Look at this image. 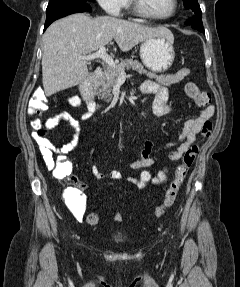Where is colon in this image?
<instances>
[{
	"label": "colon",
	"instance_id": "1",
	"mask_svg": "<svg viewBox=\"0 0 240 287\" xmlns=\"http://www.w3.org/2000/svg\"><path fill=\"white\" fill-rule=\"evenodd\" d=\"M185 93L190 97L198 106L203 107L209 105L211 101L210 95L201 90L194 82H187L185 85ZM48 108L47 99L42 94H37L31 98L29 102V111L32 115H39L41 112ZM31 126L35 130L38 136L43 137L45 132L42 129L41 121L37 118L31 121ZM212 130V123L206 122L202 128V137H206ZM199 150L197 144L191 145L183 154L181 162L175 168L173 177L169 180L167 170L160 171L157 175H152L148 171H143L138 177L137 187L143 188L146 185L152 183L156 185L167 184L165 195L162 203L154 210V217L159 218L165 214V212L175 203L179 189L184 183ZM53 174L56 178L66 177L72 168L71 163L58 156L56 161L52 163ZM90 225H97L99 223V217L95 213L88 214L86 218ZM114 220L117 222L123 221V214L116 213Z\"/></svg>",
	"mask_w": 240,
	"mask_h": 287
}]
</instances>
